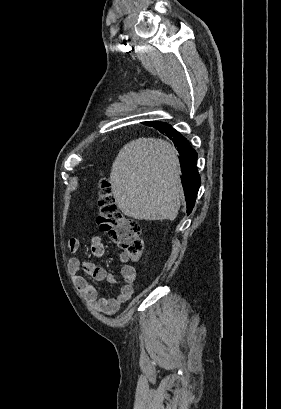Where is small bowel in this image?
Wrapping results in <instances>:
<instances>
[{
	"mask_svg": "<svg viewBox=\"0 0 281 409\" xmlns=\"http://www.w3.org/2000/svg\"><path fill=\"white\" fill-rule=\"evenodd\" d=\"M79 240L71 238L68 241V249L71 253L79 249ZM90 251L94 257L100 258L105 253V248L98 236H93L90 241ZM124 260V256L121 257ZM82 270L96 281H105L109 284L120 283V289L114 297L99 298L98 290L90 284L84 277L78 275ZM69 274L72 276L77 290L95 307L106 314H114L133 295V283L136 280L137 271L131 265H124L121 269V281L112 273H108L104 268L90 261H83L77 257H72L68 265Z\"/></svg>",
	"mask_w": 281,
	"mask_h": 409,
	"instance_id": "obj_1",
	"label": "small bowel"
}]
</instances>
